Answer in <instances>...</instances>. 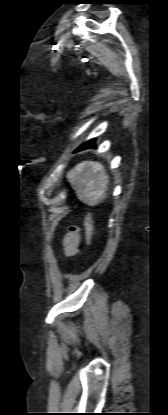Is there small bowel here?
<instances>
[{"label": "small bowel", "instance_id": "1", "mask_svg": "<svg viewBox=\"0 0 168 415\" xmlns=\"http://www.w3.org/2000/svg\"><path fill=\"white\" fill-rule=\"evenodd\" d=\"M80 234L78 231L67 233L62 240V247L66 256L73 257L79 252Z\"/></svg>", "mask_w": 168, "mask_h": 415}]
</instances>
